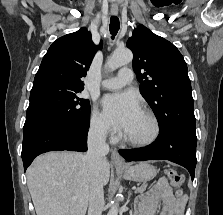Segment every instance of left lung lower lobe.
Listing matches in <instances>:
<instances>
[{
  "mask_svg": "<svg viewBox=\"0 0 223 215\" xmlns=\"http://www.w3.org/2000/svg\"><path fill=\"white\" fill-rule=\"evenodd\" d=\"M197 137L195 128L175 127L159 132L151 145L119 150L127 161L169 160L185 167L194 179Z\"/></svg>",
  "mask_w": 223,
  "mask_h": 215,
  "instance_id": "0a47b994",
  "label": "left lung lower lobe"
}]
</instances>
